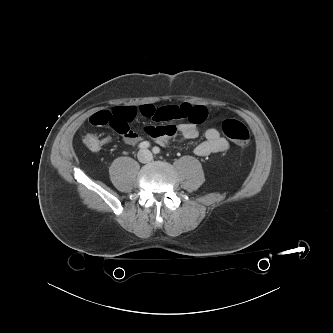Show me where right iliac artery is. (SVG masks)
Here are the masks:
<instances>
[{"instance_id":"82829eb1","label":"right iliac artery","mask_w":333,"mask_h":333,"mask_svg":"<svg viewBox=\"0 0 333 333\" xmlns=\"http://www.w3.org/2000/svg\"><path fill=\"white\" fill-rule=\"evenodd\" d=\"M140 149H147L150 147V143L148 141H143L138 146Z\"/></svg>"}]
</instances>
